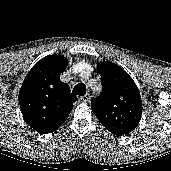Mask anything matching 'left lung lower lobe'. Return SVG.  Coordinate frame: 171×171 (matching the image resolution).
I'll list each match as a JSON object with an SVG mask.
<instances>
[{
	"instance_id": "obj_1",
	"label": "left lung lower lobe",
	"mask_w": 171,
	"mask_h": 171,
	"mask_svg": "<svg viewBox=\"0 0 171 171\" xmlns=\"http://www.w3.org/2000/svg\"><path fill=\"white\" fill-rule=\"evenodd\" d=\"M114 135H116L117 137H118V136H121L120 134H114Z\"/></svg>"
}]
</instances>
